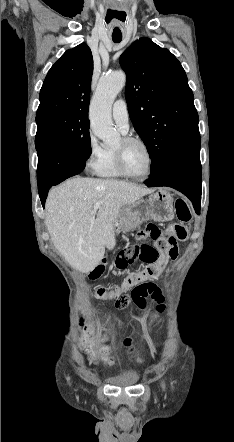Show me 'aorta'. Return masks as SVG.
Here are the masks:
<instances>
[{"label": "aorta", "mask_w": 234, "mask_h": 442, "mask_svg": "<svg viewBox=\"0 0 234 442\" xmlns=\"http://www.w3.org/2000/svg\"><path fill=\"white\" fill-rule=\"evenodd\" d=\"M126 84L123 71L102 76L91 101L90 122L94 134L106 144H114L119 139L111 118L112 104Z\"/></svg>", "instance_id": "762f6f07"}]
</instances>
